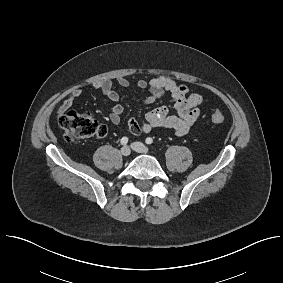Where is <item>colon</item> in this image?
<instances>
[{
	"label": "colon",
	"instance_id": "5ec220e1",
	"mask_svg": "<svg viewBox=\"0 0 283 283\" xmlns=\"http://www.w3.org/2000/svg\"><path fill=\"white\" fill-rule=\"evenodd\" d=\"M211 121L214 124H222L225 122V116L220 112H215L211 115ZM59 126L65 139L69 142L103 137L106 134V127L88 113L69 111L60 117Z\"/></svg>",
	"mask_w": 283,
	"mask_h": 283
}]
</instances>
